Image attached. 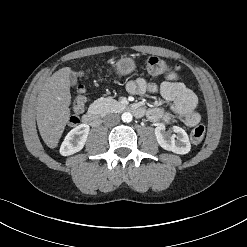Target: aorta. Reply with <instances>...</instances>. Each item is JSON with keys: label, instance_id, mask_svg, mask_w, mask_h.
<instances>
[{"label": "aorta", "instance_id": "obj_1", "mask_svg": "<svg viewBox=\"0 0 247 247\" xmlns=\"http://www.w3.org/2000/svg\"><path fill=\"white\" fill-rule=\"evenodd\" d=\"M121 118H122L123 122L129 123V122L132 121L133 116H132V114L130 112H124L122 114Z\"/></svg>", "mask_w": 247, "mask_h": 247}]
</instances>
